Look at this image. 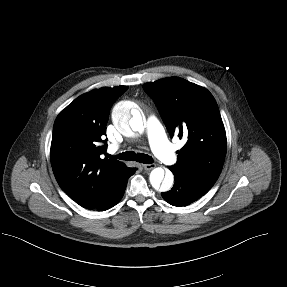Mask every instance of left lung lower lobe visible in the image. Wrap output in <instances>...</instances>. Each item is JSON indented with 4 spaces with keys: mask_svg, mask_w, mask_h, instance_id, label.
I'll return each instance as SVG.
<instances>
[{
    "mask_svg": "<svg viewBox=\"0 0 287 287\" xmlns=\"http://www.w3.org/2000/svg\"><path fill=\"white\" fill-rule=\"evenodd\" d=\"M172 172L175 178L173 188L161 193L164 200L169 204L177 207L187 206L209 191L194 183L188 175L176 171Z\"/></svg>",
    "mask_w": 287,
    "mask_h": 287,
    "instance_id": "left-lung-lower-lobe-1",
    "label": "left lung lower lobe"
}]
</instances>
